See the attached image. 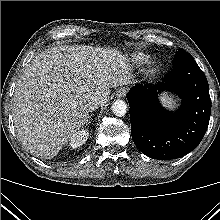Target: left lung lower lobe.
<instances>
[{"label":"left lung lower lobe","mask_w":220,"mask_h":220,"mask_svg":"<svg viewBox=\"0 0 220 220\" xmlns=\"http://www.w3.org/2000/svg\"><path fill=\"white\" fill-rule=\"evenodd\" d=\"M168 90L183 101L179 111L168 112L157 94ZM131 135L145 155L170 160L194 150L203 139L211 114V99L205 74L193 57L179 49L174 67L156 87L138 84L127 94Z\"/></svg>","instance_id":"1"}]
</instances>
